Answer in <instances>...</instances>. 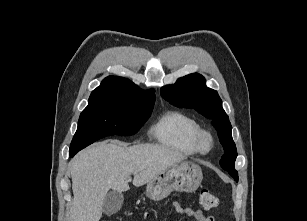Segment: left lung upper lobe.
Segmentation results:
<instances>
[{
	"mask_svg": "<svg viewBox=\"0 0 307 221\" xmlns=\"http://www.w3.org/2000/svg\"><path fill=\"white\" fill-rule=\"evenodd\" d=\"M161 95L172 105L180 108H194L203 116L212 119L225 151L220 165L238 181V173L234 168L237 150L231 135L232 126L222 108V101L217 91L206 87V81L202 75L193 73L178 79L174 85L163 87Z\"/></svg>",
	"mask_w": 307,
	"mask_h": 221,
	"instance_id": "5c2ea615",
	"label": "left lung upper lobe"
}]
</instances>
